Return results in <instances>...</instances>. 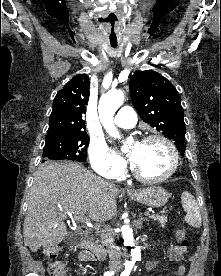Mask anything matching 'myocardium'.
Listing matches in <instances>:
<instances>
[{"instance_id":"1","label":"myocardium","mask_w":221,"mask_h":276,"mask_svg":"<svg viewBox=\"0 0 221 276\" xmlns=\"http://www.w3.org/2000/svg\"><path fill=\"white\" fill-rule=\"evenodd\" d=\"M151 140H160L167 146V148L169 149V152L171 154L170 168L164 174H162L160 176H156V177H149V176L142 174L137 169V167L134 165V163L131 164V170H132L133 175L138 180H140L142 182L158 183V182H162V181L170 178L176 172L178 165H179V153H178V150H177L175 144L165 135H162L159 133L148 134L142 138L141 142H148Z\"/></svg>"}]
</instances>
